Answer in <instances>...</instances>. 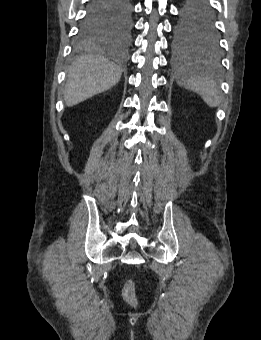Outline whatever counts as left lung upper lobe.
Here are the masks:
<instances>
[{
    "mask_svg": "<svg viewBox=\"0 0 261 340\" xmlns=\"http://www.w3.org/2000/svg\"><path fill=\"white\" fill-rule=\"evenodd\" d=\"M174 44L177 49L199 52L212 58L220 55L214 15L205 0H189L182 8L175 26Z\"/></svg>",
    "mask_w": 261,
    "mask_h": 340,
    "instance_id": "left-lung-upper-lobe-1",
    "label": "left lung upper lobe"
}]
</instances>
